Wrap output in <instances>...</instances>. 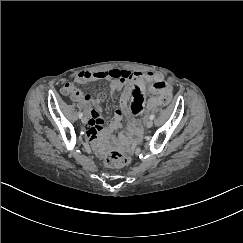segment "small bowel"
I'll return each mask as SVG.
<instances>
[{
  "label": "small bowel",
  "mask_w": 243,
  "mask_h": 243,
  "mask_svg": "<svg viewBox=\"0 0 243 243\" xmlns=\"http://www.w3.org/2000/svg\"><path fill=\"white\" fill-rule=\"evenodd\" d=\"M98 79L112 80L113 90H119L123 85H126V96L130 98V111L133 114H140L144 110L151 111L158 106H163L164 99L171 98L172 95L171 86L164 81L163 76L158 72L142 73L125 69H110L99 72L83 71L75 76V82L82 85ZM73 89L74 86L71 83H65L61 91L76 100L98 105L99 98H94L91 94L82 95L80 92L77 95H72ZM149 94L152 96L147 99ZM121 115L120 111H116L113 120H119ZM104 123L105 120L101 117L98 108L89 112L85 133L92 142L97 143Z\"/></svg>",
  "instance_id": "small-bowel-1"
}]
</instances>
